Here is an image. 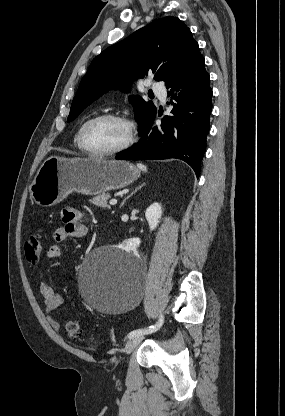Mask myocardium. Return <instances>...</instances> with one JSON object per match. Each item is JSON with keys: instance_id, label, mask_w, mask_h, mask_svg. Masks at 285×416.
Returning a JSON list of instances; mask_svg holds the SVG:
<instances>
[{"instance_id": "myocardium-1", "label": "myocardium", "mask_w": 285, "mask_h": 416, "mask_svg": "<svg viewBox=\"0 0 285 416\" xmlns=\"http://www.w3.org/2000/svg\"><path fill=\"white\" fill-rule=\"evenodd\" d=\"M99 119H112V120L119 122L121 125H123L126 131V138L119 147L112 149V150H107V151H97L88 146L86 142V130L91 123ZM133 139H134V133H133V126L131 122L126 117L118 113H99L90 117L82 125L81 130H80V137H79V141H80V145L82 149L87 154L91 156H96V157H108V156H116V155L122 154L123 152H125L127 149L130 148V146L133 143Z\"/></svg>"}]
</instances>
